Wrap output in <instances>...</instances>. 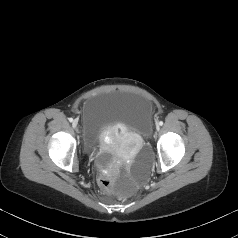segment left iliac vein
<instances>
[{"label":"left iliac vein","instance_id":"4c4485c4","mask_svg":"<svg viewBox=\"0 0 238 238\" xmlns=\"http://www.w3.org/2000/svg\"><path fill=\"white\" fill-rule=\"evenodd\" d=\"M156 129L159 131V129H160V126H159V125H157V126H156Z\"/></svg>","mask_w":238,"mask_h":238}]
</instances>
